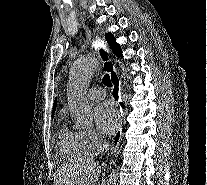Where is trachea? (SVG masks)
<instances>
[{"mask_svg":"<svg viewBox=\"0 0 207 185\" xmlns=\"http://www.w3.org/2000/svg\"><path fill=\"white\" fill-rule=\"evenodd\" d=\"M100 53L103 54L105 52H103V50H100ZM106 58H107V55H106ZM103 83L107 87H111L112 86V83H111V80H110L109 75H104V77H103Z\"/></svg>","mask_w":207,"mask_h":185,"instance_id":"trachea-1","label":"trachea"}]
</instances>
